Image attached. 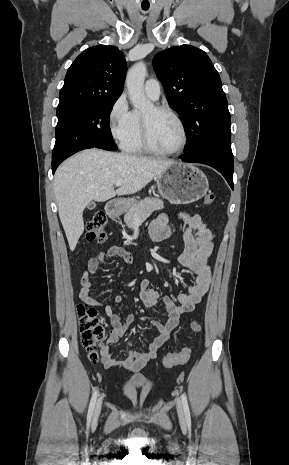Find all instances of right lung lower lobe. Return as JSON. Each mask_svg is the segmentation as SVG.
<instances>
[{
	"instance_id": "right-lung-lower-lobe-1",
	"label": "right lung lower lobe",
	"mask_w": 289,
	"mask_h": 465,
	"mask_svg": "<svg viewBox=\"0 0 289 465\" xmlns=\"http://www.w3.org/2000/svg\"><path fill=\"white\" fill-rule=\"evenodd\" d=\"M62 161H56V162H52V172L54 173L55 170L57 169V167L59 166V164L61 163Z\"/></svg>"
}]
</instances>
